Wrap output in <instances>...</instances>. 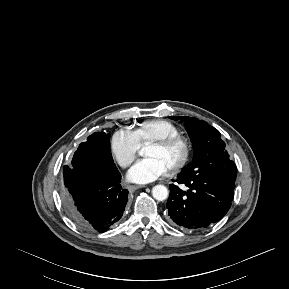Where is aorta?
Masks as SVG:
<instances>
[{
  "instance_id": "1",
  "label": "aorta",
  "mask_w": 289,
  "mask_h": 289,
  "mask_svg": "<svg viewBox=\"0 0 289 289\" xmlns=\"http://www.w3.org/2000/svg\"><path fill=\"white\" fill-rule=\"evenodd\" d=\"M168 189L164 185H156L152 189L153 198L158 201H163L168 197Z\"/></svg>"
}]
</instances>
